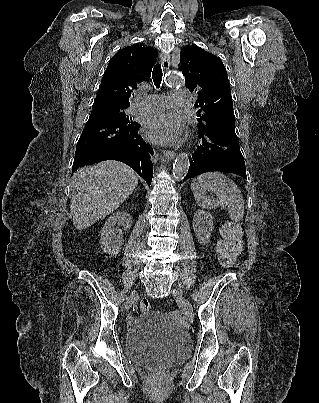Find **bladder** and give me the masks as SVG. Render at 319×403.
I'll use <instances>...</instances> for the list:
<instances>
[{"instance_id":"bladder-1","label":"bladder","mask_w":319,"mask_h":403,"mask_svg":"<svg viewBox=\"0 0 319 403\" xmlns=\"http://www.w3.org/2000/svg\"><path fill=\"white\" fill-rule=\"evenodd\" d=\"M129 361L148 369L166 368L185 360L191 349L186 331L168 314L149 311L126 330Z\"/></svg>"}]
</instances>
